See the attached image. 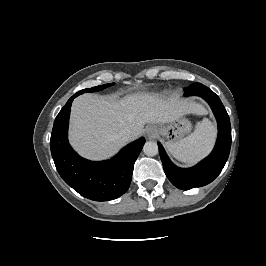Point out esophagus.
<instances>
[{"label":"esophagus","mask_w":266,"mask_h":266,"mask_svg":"<svg viewBox=\"0 0 266 266\" xmlns=\"http://www.w3.org/2000/svg\"><path fill=\"white\" fill-rule=\"evenodd\" d=\"M146 134L150 138H154L157 135V131L154 127H149L146 130Z\"/></svg>","instance_id":"1"}]
</instances>
